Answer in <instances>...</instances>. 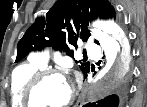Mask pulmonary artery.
I'll return each instance as SVG.
<instances>
[{"label": "pulmonary artery", "instance_id": "obj_1", "mask_svg": "<svg viewBox=\"0 0 147 107\" xmlns=\"http://www.w3.org/2000/svg\"><path fill=\"white\" fill-rule=\"evenodd\" d=\"M85 49H86V53L91 56V57H95V58H98L100 56V49L99 47L95 46V45H92V44H87L85 46ZM33 60L38 62V63H41L43 65H46L47 62H48V57L46 54L44 53H41V54H36L34 57H33Z\"/></svg>", "mask_w": 147, "mask_h": 107}]
</instances>
